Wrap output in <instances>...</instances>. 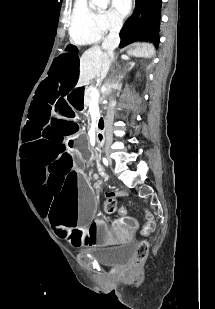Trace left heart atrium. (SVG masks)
<instances>
[{"instance_id":"39dd6f15","label":"left heart atrium","mask_w":215,"mask_h":309,"mask_svg":"<svg viewBox=\"0 0 215 309\" xmlns=\"http://www.w3.org/2000/svg\"><path fill=\"white\" fill-rule=\"evenodd\" d=\"M114 7H117L116 12H130L128 0H112Z\"/></svg>"}]
</instances>
